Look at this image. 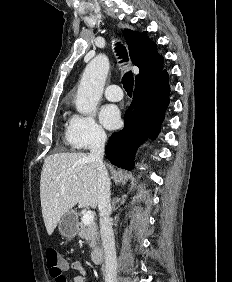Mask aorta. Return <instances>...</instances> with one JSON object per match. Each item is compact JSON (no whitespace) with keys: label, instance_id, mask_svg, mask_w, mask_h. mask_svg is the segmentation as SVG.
<instances>
[{"label":"aorta","instance_id":"1","mask_svg":"<svg viewBox=\"0 0 232 282\" xmlns=\"http://www.w3.org/2000/svg\"><path fill=\"white\" fill-rule=\"evenodd\" d=\"M109 70V60L99 54L86 66L76 95V109L81 114H89L98 105L102 96Z\"/></svg>","mask_w":232,"mask_h":282}]
</instances>
